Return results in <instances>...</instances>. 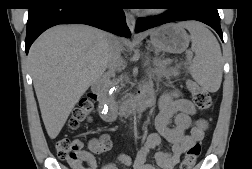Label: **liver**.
<instances>
[{"label":"liver","instance_id":"1","mask_svg":"<svg viewBox=\"0 0 252 169\" xmlns=\"http://www.w3.org/2000/svg\"><path fill=\"white\" fill-rule=\"evenodd\" d=\"M112 38L87 25H58L32 44L28 54L30 72L51 139L58 136L87 89L104 74Z\"/></svg>","mask_w":252,"mask_h":169}]
</instances>
